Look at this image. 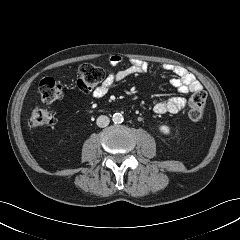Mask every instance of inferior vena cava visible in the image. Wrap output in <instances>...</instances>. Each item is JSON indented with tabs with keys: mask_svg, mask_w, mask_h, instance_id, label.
Wrapping results in <instances>:
<instances>
[{
	"mask_svg": "<svg viewBox=\"0 0 240 240\" xmlns=\"http://www.w3.org/2000/svg\"><path fill=\"white\" fill-rule=\"evenodd\" d=\"M109 122H110L109 118L105 115L99 116L96 121L97 126L101 128L108 126Z\"/></svg>",
	"mask_w": 240,
	"mask_h": 240,
	"instance_id": "obj_1",
	"label": "inferior vena cava"
}]
</instances>
